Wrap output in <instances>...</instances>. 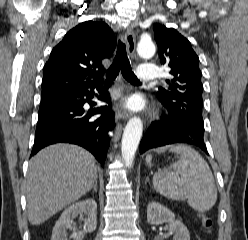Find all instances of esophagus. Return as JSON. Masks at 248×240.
<instances>
[{"label": "esophagus", "instance_id": "1", "mask_svg": "<svg viewBox=\"0 0 248 240\" xmlns=\"http://www.w3.org/2000/svg\"><path fill=\"white\" fill-rule=\"evenodd\" d=\"M124 40L127 45V51L130 55H133L136 48V40H135V34L132 29L128 28L124 33ZM124 101V95L120 94L117 97V103L121 104ZM116 118L117 119H128L131 115V113L126 109H116Z\"/></svg>", "mask_w": 248, "mask_h": 240}]
</instances>
